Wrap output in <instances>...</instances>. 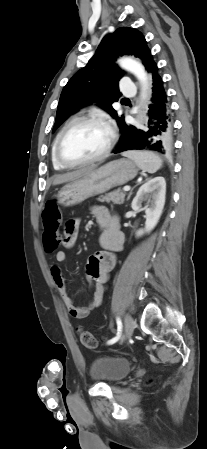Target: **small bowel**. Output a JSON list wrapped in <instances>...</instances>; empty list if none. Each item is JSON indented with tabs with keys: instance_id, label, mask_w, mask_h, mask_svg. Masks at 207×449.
<instances>
[{
	"instance_id": "obj_1",
	"label": "small bowel",
	"mask_w": 207,
	"mask_h": 449,
	"mask_svg": "<svg viewBox=\"0 0 207 449\" xmlns=\"http://www.w3.org/2000/svg\"><path fill=\"white\" fill-rule=\"evenodd\" d=\"M92 213L102 228L98 237V243L103 251L92 254L86 264V278L92 290V295L87 307L75 306L71 299L66 278L59 265L51 268V274L58 287L59 294L68 313L77 319L87 317L93 310L97 309L105 293V285L108 281L109 273L115 265L113 252L123 248V234L120 231L119 218L112 214L110 210L102 205L95 206ZM80 220L69 219L64 226L63 246L71 249L75 246L79 234ZM57 263L65 261L66 254L60 250L55 255Z\"/></svg>"
}]
</instances>
